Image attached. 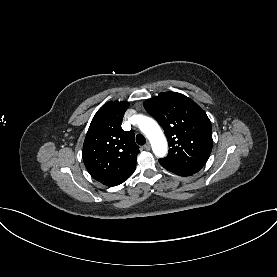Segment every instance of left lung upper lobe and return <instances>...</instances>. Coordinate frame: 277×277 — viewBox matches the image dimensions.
Returning <instances> with one entry per match:
<instances>
[{"label":"left lung upper lobe","mask_w":277,"mask_h":277,"mask_svg":"<svg viewBox=\"0 0 277 277\" xmlns=\"http://www.w3.org/2000/svg\"><path fill=\"white\" fill-rule=\"evenodd\" d=\"M147 112L164 129L169 154L159 162L164 167L201 169L213 145L211 122L190 98L176 92H162L144 102Z\"/></svg>","instance_id":"5c2ea615"}]
</instances>
